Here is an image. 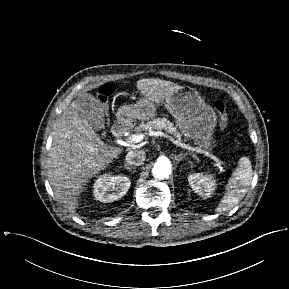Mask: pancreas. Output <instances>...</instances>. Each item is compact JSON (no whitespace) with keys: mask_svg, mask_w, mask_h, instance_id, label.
<instances>
[{"mask_svg":"<svg viewBox=\"0 0 289 289\" xmlns=\"http://www.w3.org/2000/svg\"><path fill=\"white\" fill-rule=\"evenodd\" d=\"M165 130L166 132L174 135L177 137L179 140L181 139V135L179 132H177L176 127L172 122L167 120L166 118H157L153 119L151 121H148L147 123H142L137 130L138 131H154V130Z\"/></svg>","mask_w":289,"mask_h":289,"instance_id":"obj_1","label":"pancreas"}]
</instances>
